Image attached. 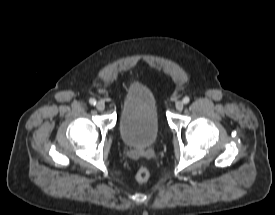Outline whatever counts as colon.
I'll use <instances>...</instances> for the list:
<instances>
[{"label": "colon", "mask_w": 275, "mask_h": 215, "mask_svg": "<svg viewBox=\"0 0 275 215\" xmlns=\"http://www.w3.org/2000/svg\"><path fill=\"white\" fill-rule=\"evenodd\" d=\"M135 177L139 182H146L150 178V172L145 167H139L136 171Z\"/></svg>", "instance_id": "colon-1"}]
</instances>
